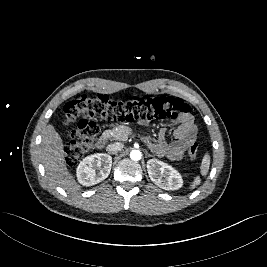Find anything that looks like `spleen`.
I'll return each mask as SVG.
<instances>
[{
	"mask_svg": "<svg viewBox=\"0 0 267 267\" xmlns=\"http://www.w3.org/2000/svg\"><path fill=\"white\" fill-rule=\"evenodd\" d=\"M209 166H210V155L205 154L201 163V173L203 175H205L208 172ZM200 183H201L200 178L196 177L192 184V188H195V186L199 185Z\"/></svg>",
	"mask_w": 267,
	"mask_h": 267,
	"instance_id": "1",
	"label": "spleen"
}]
</instances>
